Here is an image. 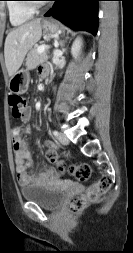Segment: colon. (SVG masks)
Segmentation results:
<instances>
[{"mask_svg": "<svg viewBox=\"0 0 133 253\" xmlns=\"http://www.w3.org/2000/svg\"><path fill=\"white\" fill-rule=\"evenodd\" d=\"M8 103L11 114L14 118H23L27 108L26 100L21 95L13 94L8 97ZM47 159L50 162L56 163L61 172L66 170V165L57 159L54 151L47 153ZM68 171L78 180L86 181L90 178L91 168L88 164H75L68 167ZM110 187L108 178H100L90 184L86 192L70 201L69 209L71 212H77L84 209L89 203L96 201L104 195Z\"/></svg>", "mask_w": 133, "mask_h": 253, "instance_id": "colon-1", "label": "colon"}]
</instances>
